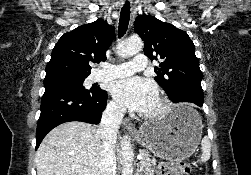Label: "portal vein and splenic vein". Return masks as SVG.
Instances as JSON below:
<instances>
[{
    "label": "portal vein and splenic vein",
    "mask_w": 251,
    "mask_h": 175,
    "mask_svg": "<svg viewBox=\"0 0 251 175\" xmlns=\"http://www.w3.org/2000/svg\"><path fill=\"white\" fill-rule=\"evenodd\" d=\"M137 159H143V156L141 155V153H139V155H137ZM84 175H88V173H84Z\"/></svg>",
    "instance_id": "obj_1"
}]
</instances>
